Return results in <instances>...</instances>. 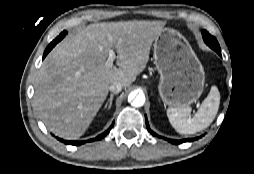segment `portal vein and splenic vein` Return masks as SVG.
I'll return each instance as SVG.
<instances>
[{"label":"portal vein and splenic vein","instance_id":"18ae733b","mask_svg":"<svg viewBox=\"0 0 254 174\" xmlns=\"http://www.w3.org/2000/svg\"><path fill=\"white\" fill-rule=\"evenodd\" d=\"M116 59V54L113 50H109L108 59L106 60L105 66L110 68L113 66V62Z\"/></svg>","mask_w":254,"mask_h":174}]
</instances>
